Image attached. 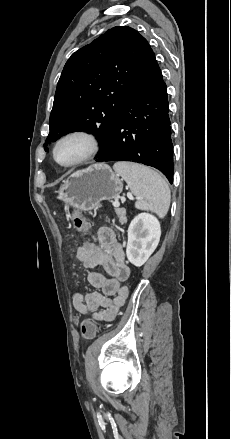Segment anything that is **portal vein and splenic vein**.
<instances>
[{"instance_id": "18ae733b", "label": "portal vein and splenic vein", "mask_w": 231, "mask_h": 439, "mask_svg": "<svg viewBox=\"0 0 231 439\" xmlns=\"http://www.w3.org/2000/svg\"><path fill=\"white\" fill-rule=\"evenodd\" d=\"M113 205H114L115 207H119V203H118V202L113 203Z\"/></svg>"}]
</instances>
